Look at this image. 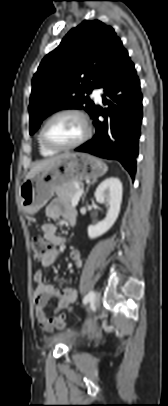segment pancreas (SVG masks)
I'll use <instances>...</instances> for the list:
<instances>
[{"label":"pancreas","mask_w":168,"mask_h":406,"mask_svg":"<svg viewBox=\"0 0 168 406\" xmlns=\"http://www.w3.org/2000/svg\"><path fill=\"white\" fill-rule=\"evenodd\" d=\"M78 185L80 187L82 186L81 183H78ZM78 190H79V188L76 187V184L71 183V184L67 185L66 187L57 189L55 192H56L59 200L70 204Z\"/></svg>","instance_id":"pancreas-1"}]
</instances>
